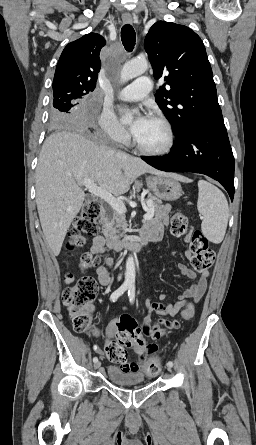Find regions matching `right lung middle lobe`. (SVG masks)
<instances>
[{
  "instance_id": "dd1d6c3e",
  "label": "right lung middle lobe",
  "mask_w": 256,
  "mask_h": 445,
  "mask_svg": "<svg viewBox=\"0 0 256 445\" xmlns=\"http://www.w3.org/2000/svg\"><path fill=\"white\" fill-rule=\"evenodd\" d=\"M84 95L77 92H60L54 93L53 107L50 110L51 122L54 125L69 124L74 121V110L77 106V100Z\"/></svg>"
}]
</instances>
